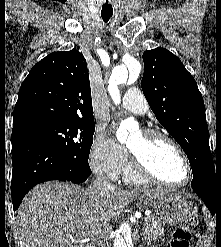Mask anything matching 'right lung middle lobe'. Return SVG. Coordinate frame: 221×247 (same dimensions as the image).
Masks as SVG:
<instances>
[{
  "label": "right lung middle lobe",
  "mask_w": 221,
  "mask_h": 247,
  "mask_svg": "<svg viewBox=\"0 0 221 247\" xmlns=\"http://www.w3.org/2000/svg\"><path fill=\"white\" fill-rule=\"evenodd\" d=\"M95 131L94 122H47L12 131L42 139L77 160L88 163Z\"/></svg>",
  "instance_id": "right-lung-middle-lobe-1"
}]
</instances>
